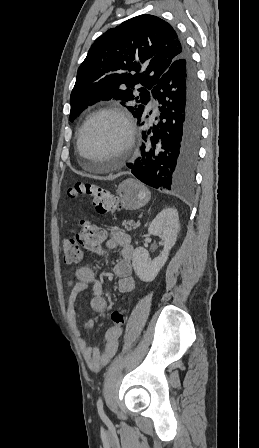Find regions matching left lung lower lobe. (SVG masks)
I'll use <instances>...</instances> for the list:
<instances>
[{"mask_svg": "<svg viewBox=\"0 0 259 448\" xmlns=\"http://www.w3.org/2000/svg\"><path fill=\"white\" fill-rule=\"evenodd\" d=\"M183 43L182 56L174 61L152 88L161 105L159 122L146 134L151 146L142 144L140 157L127 163L132 174L143 183L165 191L180 192L193 184L201 138V105L196 70ZM152 112L137 117L144 125ZM157 120V118H156Z\"/></svg>", "mask_w": 259, "mask_h": 448, "instance_id": "0a47b994", "label": "left lung lower lobe"}]
</instances>
